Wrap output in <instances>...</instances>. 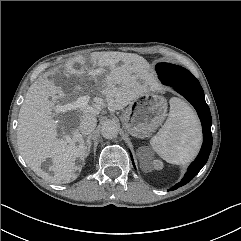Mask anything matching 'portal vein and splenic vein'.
Wrapping results in <instances>:
<instances>
[{"mask_svg":"<svg viewBox=\"0 0 241 241\" xmlns=\"http://www.w3.org/2000/svg\"><path fill=\"white\" fill-rule=\"evenodd\" d=\"M88 103V98L87 97H80L76 101L74 105H70L71 108H78V107H84ZM57 110H60L61 112H65L66 108L65 105L61 106L60 109L57 108Z\"/></svg>","mask_w":241,"mask_h":241,"instance_id":"portal-vein-and-splenic-vein-1","label":"portal vein and splenic vein"}]
</instances>
